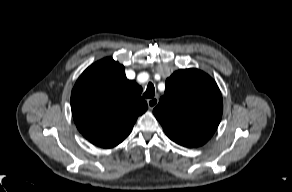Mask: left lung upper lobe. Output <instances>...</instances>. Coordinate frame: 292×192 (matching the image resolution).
<instances>
[{
	"label": "left lung upper lobe",
	"mask_w": 292,
	"mask_h": 192,
	"mask_svg": "<svg viewBox=\"0 0 292 192\" xmlns=\"http://www.w3.org/2000/svg\"><path fill=\"white\" fill-rule=\"evenodd\" d=\"M222 95L216 82L198 69L174 72L153 113L166 135L185 147L205 144L222 117Z\"/></svg>",
	"instance_id": "1"
}]
</instances>
